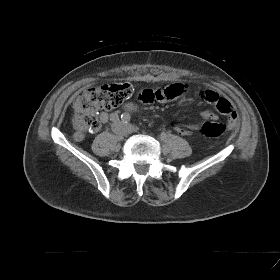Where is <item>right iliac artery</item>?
I'll return each instance as SVG.
<instances>
[{"label":"right iliac artery","mask_w":280,"mask_h":280,"mask_svg":"<svg viewBox=\"0 0 280 280\" xmlns=\"http://www.w3.org/2000/svg\"><path fill=\"white\" fill-rule=\"evenodd\" d=\"M110 120L113 121V122H116L119 120V115L117 113H112L110 115Z\"/></svg>","instance_id":"right-iliac-artery-1"}]
</instances>
